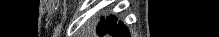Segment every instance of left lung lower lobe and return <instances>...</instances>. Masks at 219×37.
<instances>
[{
  "label": "left lung lower lobe",
  "mask_w": 219,
  "mask_h": 37,
  "mask_svg": "<svg viewBox=\"0 0 219 37\" xmlns=\"http://www.w3.org/2000/svg\"><path fill=\"white\" fill-rule=\"evenodd\" d=\"M106 34H109L114 37H130L129 31L126 28V26L123 25L121 22L117 23V19L114 22L113 26L103 35H106Z\"/></svg>",
  "instance_id": "0a47b994"
}]
</instances>
